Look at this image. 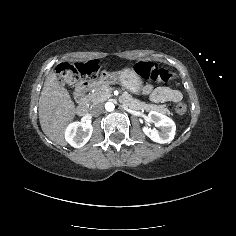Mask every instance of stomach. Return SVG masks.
<instances>
[{
  "mask_svg": "<svg viewBox=\"0 0 236 236\" xmlns=\"http://www.w3.org/2000/svg\"><path fill=\"white\" fill-rule=\"evenodd\" d=\"M116 80L131 94L141 96L144 88L142 77L134 70L125 68L117 71V77L111 73L102 76L100 83H114Z\"/></svg>",
  "mask_w": 236,
  "mask_h": 236,
  "instance_id": "0dacf381",
  "label": "stomach"
}]
</instances>
